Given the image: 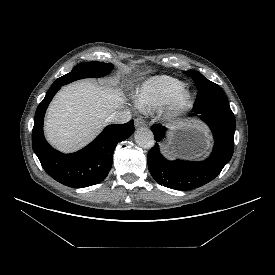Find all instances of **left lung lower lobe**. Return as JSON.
I'll return each mask as SVG.
<instances>
[{
    "label": "left lung lower lobe",
    "instance_id": "0a47b994",
    "mask_svg": "<svg viewBox=\"0 0 275 275\" xmlns=\"http://www.w3.org/2000/svg\"><path fill=\"white\" fill-rule=\"evenodd\" d=\"M193 116L200 115L213 132L215 144L212 154L202 162L165 159L156 143L147 157L152 177L165 187L191 190L213 180L230 161L234 150L235 118L230 108L203 107L194 104ZM155 140H161L164 128L151 127Z\"/></svg>",
    "mask_w": 275,
    "mask_h": 275
}]
</instances>
